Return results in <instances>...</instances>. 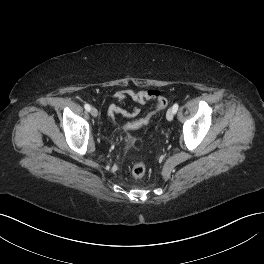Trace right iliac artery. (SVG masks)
Segmentation results:
<instances>
[{
	"label": "right iliac artery",
	"mask_w": 264,
	"mask_h": 264,
	"mask_svg": "<svg viewBox=\"0 0 264 264\" xmlns=\"http://www.w3.org/2000/svg\"><path fill=\"white\" fill-rule=\"evenodd\" d=\"M84 108L86 109V111H90V109H91V107H90L89 104H85V105H84Z\"/></svg>",
	"instance_id": "right-iliac-artery-1"
}]
</instances>
